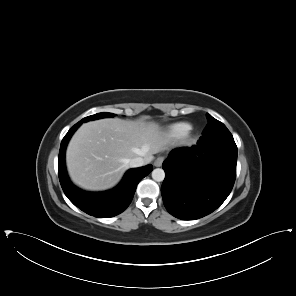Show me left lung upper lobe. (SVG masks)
I'll return each instance as SVG.
<instances>
[{
  "mask_svg": "<svg viewBox=\"0 0 296 296\" xmlns=\"http://www.w3.org/2000/svg\"><path fill=\"white\" fill-rule=\"evenodd\" d=\"M206 117L208 124L202 134V138L205 140L206 144L235 143L232 134L223 123L209 114H206Z\"/></svg>",
  "mask_w": 296,
  "mask_h": 296,
  "instance_id": "5c2ea615",
  "label": "left lung upper lobe"
}]
</instances>
